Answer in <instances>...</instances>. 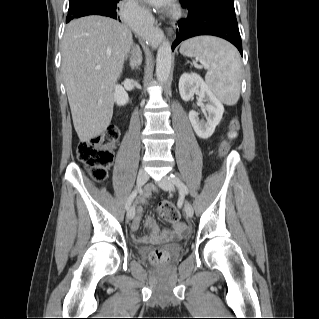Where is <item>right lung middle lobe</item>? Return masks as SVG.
I'll return each instance as SVG.
<instances>
[{
    "mask_svg": "<svg viewBox=\"0 0 319 319\" xmlns=\"http://www.w3.org/2000/svg\"><path fill=\"white\" fill-rule=\"evenodd\" d=\"M99 0H69L68 16L66 19H72L73 16L81 10L89 7Z\"/></svg>",
    "mask_w": 319,
    "mask_h": 319,
    "instance_id": "dd1d6c3e",
    "label": "right lung middle lobe"
}]
</instances>
